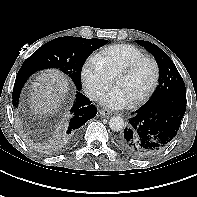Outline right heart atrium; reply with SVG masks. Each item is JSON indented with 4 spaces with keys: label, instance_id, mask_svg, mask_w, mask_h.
Segmentation results:
<instances>
[{
    "label": "right heart atrium",
    "instance_id": "1",
    "mask_svg": "<svg viewBox=\"0 0 197 197\" xmlns=\"http://www.w3.org/2000/svg\"><path fill=\"white\" fill-rule=\"evenodd\" d=\"M81 80L87 95L92 100H97L112 84L113 78L107 74L94 56H92L82 66Z\"/></svg>",
    "mask_w": 197,
    "mask_h": 197
}]
</instances>
